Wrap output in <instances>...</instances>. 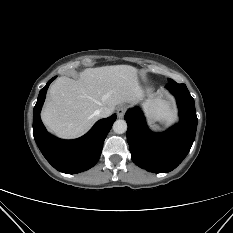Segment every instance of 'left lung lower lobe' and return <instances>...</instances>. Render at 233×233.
Masks as SVG:
<instances>
[{"label":"left lung lower lobe","instance_id":"1","mask_svg":"<svg viewBox=\"0 0 233 233\" xmlns=\"http://www.w3.org/2000/svg\"><path fill=\"white\" fill-rule=\"evenodd\" d=\"M166 88L176 97L181 121L163 133L151 132L143 113L138 108L129 109L127 141L133 162L153 173L175 169L189 153L195 139L197 116L194 99L185 84L171 81Z\"/></svg>","mask_w":233,"mask_h":233}]
</instances>
